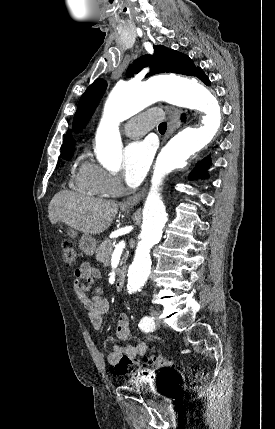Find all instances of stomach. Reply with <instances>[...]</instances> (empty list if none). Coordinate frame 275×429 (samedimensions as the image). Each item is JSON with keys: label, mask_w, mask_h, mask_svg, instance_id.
I'll list each match as a JSON object with an SVG mask.
<instances>
[{"label": "stomach", "mask_w": 275, "mask_h": 429, "mask_svg": "<svg viewBox=\"0 0 275 429\" xmlns=\"http://www.w3.org/2000/svg\"><path fill=\"white\" fill-rule=\"evenodd\" d=\"M62 231H63V233H64L65 236H69V237H72V238L76 237L77 234H78V232L75 229H73V228H71V227H69L67 225H65L64 227H62ZM96 244H97L96 240L91 235H89V234H85L84 233L81 236V238L79 239V247H80V249L86 255H89V256L93 255V253H94V251L96 249Z\"/></svg>", "instance_id": "obj_1"}]
</instances>
